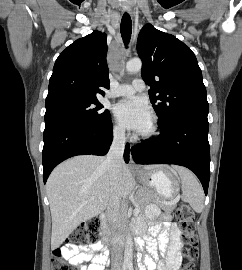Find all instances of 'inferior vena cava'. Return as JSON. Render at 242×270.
<instances>
[{"label":"inferior vena cava","mask_w":242,"mask_h":270,"mask_svg":"<svg viewBox=\"0 0 242 270\" xmlns=\"http://www.w3.org/2000/svg\"><path fill=\"white\" fill-rule=\"evenodd\" d=\"M113 142L104 161V165L108 169L111 183L114 186V191L111 195L108 205V220L116 226L121 217V194H120V181H121V170L123 166V153L125 148V131L119 129L114 132ZM113 266L117 270H121L122 266V252L120 248L113 249Z\"/></svg>","instance_id":"1"}]
</instances>
